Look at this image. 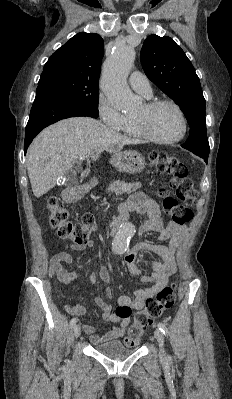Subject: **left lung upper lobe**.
Listing matches in <instances>:
<instances>
[{
    "mask_svg": "<svg viewBox=\"0 0 232 399\" xmlns=\"http://www.w3.org/2000/svg\"><path fill=\"white\" fill-rule=\"evenodd\" d=\"M141 64L147 77L180 106L188 121L189 137L181 146L196 155L208 156L206 101L183 50L170 37L150 35L141 50Z\"/></svg>",
    "mask_w": 232,
    "mask_h": 399,
    "instance_id": "left-lung-upper-lobe-1",
    "label": "left lung upper lobe"
}]
</instances>
